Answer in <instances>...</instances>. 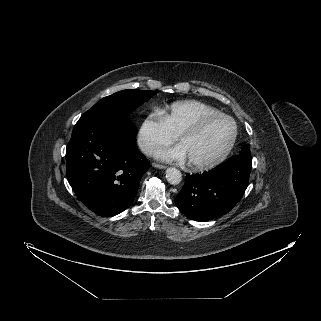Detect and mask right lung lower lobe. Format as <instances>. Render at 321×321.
Returning a JSON list of instances; mask_svg holds the SVG:
<instances>
[{"instance_id": "98d812e1", "label": "right lung lower lobe", "mask_w": 321, "mask_h": 321, "mask_svg": "<svg viewBox=\"0 0 321 321\" xmlns=\"http://www.w3.org/2000/svg\"><path fill=\"white\" fill-rule=\"evenodd\" d=\"M136 128L125 119L74 127L66 148L67 178L90 210L114 216L135 199L149 168L136 145Z\"/></svg>"}]
</instances>
